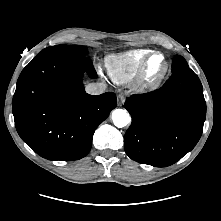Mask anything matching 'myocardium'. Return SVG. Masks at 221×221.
I'll list each match as a JSON object with an SVG mask.
<instances>
[{
	"instance_id": "myocardium-1",
	"label": "myocardium",
	"mask_w": 221,
	"mask_h": 221,
	"mask_svg": "<svg viewBox=\"0 0 221 221\" xmlns=\"http://www.w3.org/2000/svg\"><path fill=\"white\" fill-rule=\"evenodd\" d=\"M161 56L163 58L164 66L162 70L156 74H151L149 71V64L154 56ZM169 70V63L166 56L160 51H151L141 64L137 75L139 86L144 90L156 89Z\"/></svg>"
}]
</instances>
